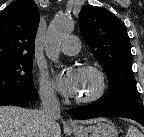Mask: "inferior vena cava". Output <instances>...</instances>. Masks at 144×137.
Segmentation results:
<instances>
[{
  "label": "inferior vena cava",
  "mask_w": 144,
  "mask_h": 137,
  "mask_svg": "<svg viewBox=\"0 0 144 137\" xmlns=\"http://www.w3.org/2000/svg\"><path fill=\"white\" fill-rule=\"evenodd\" d=\"M41 100L43 119L46 126L52 128L55 126L56 120L60 117V103L52 91L45 92Z\"/></svg>",
  "instance_id": "1"
}]
</instances>
